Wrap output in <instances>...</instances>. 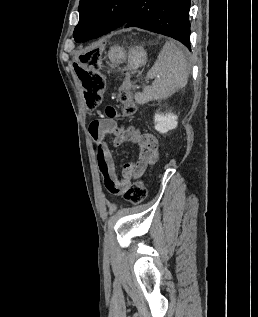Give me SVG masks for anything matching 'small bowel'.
<instances>
[{
    "mask_svg": "<svg viewBox=\"0 0 258 317\" xmlns=\"http://www.w3.org/2000/svg\"><path fill=\"white\" fill-rule=\"evenodd\" d=\"M89 133L97 149V166L106 189L112 194H121L130 185L131 180L143 175L146 169L158 158V141L155 136L142 133L134 126H119L114 120L101 118L91 122ZM114 136L113 145L119 147L125 143L138 144V159L126 163L122 168L121 178L116 174L112 152L106 137Z\"/></svg>",
    "mask_w": 258,
    "mask_h": 317,
    "instance_id": "c3829d8e",
    "label": "small bowel"
}]
</instances>
